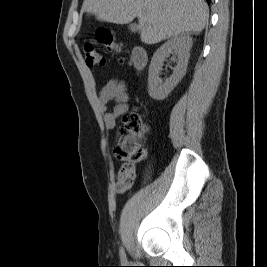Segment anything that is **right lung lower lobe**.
<instances>
[{"instance_id": "obj_1", "label": "right lung lower lobe", "mask_w": 267, "mask_h": 267, "mask_svg": "<svg viewBox=\"0 0 267 267\" xmlns=\"http://www.w3.org/2000/svg\"><path fill=\"white\" fill-rule=\"evenodd\" d=\"M208 2V4H210V0H206Z\"/></svg>"}]
</instances>
